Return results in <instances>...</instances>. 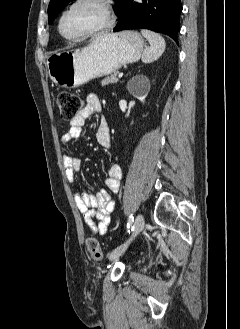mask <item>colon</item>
I'll return each instance as SVG.
<instances>
[{"label":"colon","instance_id":"colon-1","mask_svg":"<svg viewBox=\"0 0 240 329\" xmlns=\"http://www.w3.org/2000/svg\"><path fill=\"white\" fill-rule=\"evenodd\" d=\"M57 106L60 111V116L63 120L71 121L84 107L83 98L72 92H60L57 96ZM86 246L89 254L96 260H101L103 257L99 243L95 238H88Z\"/></svg>","mask_w":240,"mask_h":329}]
</instances>
